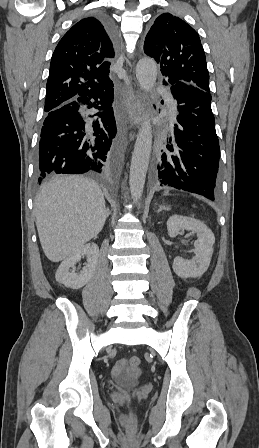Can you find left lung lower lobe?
<instances>
[{
	"label": "left lung lower lobe",
	"instance_id": "0a47b994",
	"mask_svg": "<svg viewBox=\"0 0 259 448\" xmlns=\"http://www.w3.org/2000/svg\"><path fill=\"white\" fill-rule=\"evenodd\" d=\"M178 106L177 123L154 169V182L215 199L219 187V140L211 94L192 83L167 79Z\"/></svg>",
	"mask_w": 259,
	"mask_h": 448
}]
</instances>
